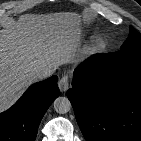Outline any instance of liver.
<instances>
[{
	"instance_id": "1",
	"label": "liver",
	"mask_w": 141,
	"mask_h": 141,
	"mask_svg": "<svg viewBox=\"0 0 141 141\" xmlns=\"http://www.w3.org/2000/svg\"><path fill=\"white\" fill-rule=\"evenodd\" d=\"M80 43L76 13L24 14L5 24L0 29V112L38 80L36 69L74 62Z\"/></svg>"
}]
</instances>
